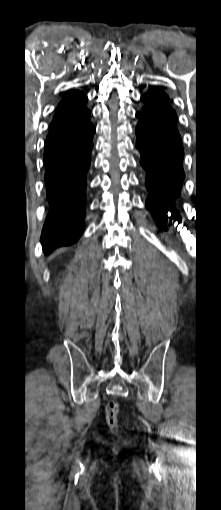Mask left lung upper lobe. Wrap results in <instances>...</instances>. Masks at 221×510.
<instances>
[{"label": "left lung upper lobe", "mask_w": 221, "mask_h": 510, "mask_svg": "<svg viewBox=\"0 0 221 510\" xmlns=\"http://www.w3.org/2000/svg\"><path fill=\"white\" fill-rule=\"evenodd\" d=\"M144 107L141 112L147 114L162 128L178 133L176 128L177 116L169 105V97L159 88L148 91L141 97Z\"/></svg>", "instance_id": "obj_1"}]
</instances>
